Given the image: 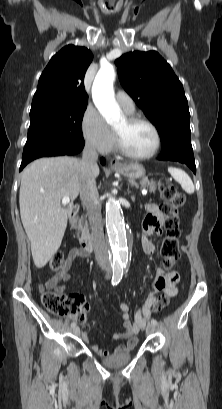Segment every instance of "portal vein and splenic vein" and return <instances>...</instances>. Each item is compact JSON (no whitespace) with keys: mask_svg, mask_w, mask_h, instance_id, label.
Masks as SVG:
<instances>
[{"mask_svg":"<svg viewBox=\"0 0 222 409\" xmlns=\"http://www.w3.org/2000/svg\"><path fill=\"white\" fill-rule=\"evenodd\" d=\"M142 194L143 195H146L147 194V191L146 190H142ZM70 202V198L68 197V196H65V197H63V199H62V204H68Z\"/></svg>","mask_w":222,"mask_h":409,"instance_id":"1","label":"portal vein and splenic vein"}]
</instances>
